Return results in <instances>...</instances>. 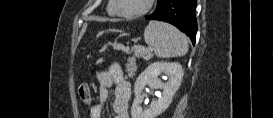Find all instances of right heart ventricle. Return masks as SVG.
<instances>
[{
	"instance_id": "right-heart-ventricle-1",
	"label": "right heart ventricle",
	"mask_w": 273,
	"mask_h": 118,
	"mask_svg": "<svg viewBox=\"0 0 273 118\" xmlns=\"http://www.w3.org/2000/svg\"><path fill=\"white\" fill-rule=\"evenodd\" d=\"M107 12L109 13V14H111V15H114L115 13H114V10L112 9V4H111V2H110V4L108 5V7H107Z\"/></svg>"
}]
</instances>
